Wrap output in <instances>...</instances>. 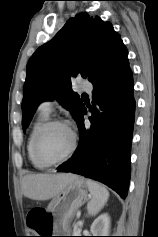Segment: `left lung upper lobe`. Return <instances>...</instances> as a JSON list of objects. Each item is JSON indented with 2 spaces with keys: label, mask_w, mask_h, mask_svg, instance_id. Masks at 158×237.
Listing matches in <instances>:
<instances>
[{
  "label": "left lung upper lobe",
  "mask_w": 158,
  "mask_h": 237,
  "mask_svg": "<svg viewBox=\"0 0 158 237\" xmlns=\"http://www.w3.org/2000/svg\"><path fill=\"white\" fill-rule=\"evenodd\" d=\"M128 51L110 22L87 13L77 14L29 59L22 101V126H28L37 106L57 100L78 121L84 107L71 90V79L81 75L97 84L127 60Z\"/></svg>",
  "instance_id": "left-lung-upper-lobe-1"
}]
</instances>
